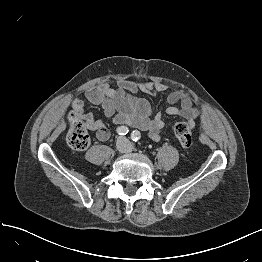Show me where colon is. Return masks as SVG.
<instances>
[{
    "label": "colon",
    "instance_id": "obj_1",
    "mask_svg": "<svg viewBox=\"0 0 262 262\" xmlns=\"http://www.w3.org/2000/svg\"><path fill=\"white\" fill-rule=\"evenodd\" d=\"M69 129L67 133L68 144L75 150H84L90 144V135L83 126L80 119L76 116L74 111L68 115ZM193 124L187 121L178 122L174 126L175 135L180 144L188 148L192 145V130Z\"/></svg>",
    "mask_w": 262,
    "mask_h": 262
}]
</instances>
